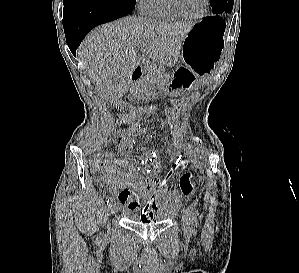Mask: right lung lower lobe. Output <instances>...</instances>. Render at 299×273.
<instances>
[{"label": "right lung lower lobe", "mask_w": 299, "mask_h": 273, "mask_svg": "<svg viewBox=\"0 0 299 273\" xmlns=\"http://www.w3.org/2000/svg\"><path fill=\"white\" fill-rule=\"evenodd\" d=\"M136 0H63V27L70 51L76 49L82 39L95 26L129 14Z\"/></svg>", "instance_id": "obj_1"}]
</instances>
